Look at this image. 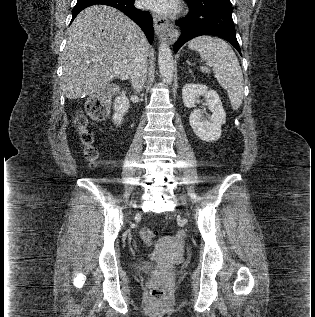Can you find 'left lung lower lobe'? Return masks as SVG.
<instances>
[{"instance_id": "0a47b994", "label": "left lung lower lobe", "mask_w": 315, "mask_h": 317, "mask_svg": "<svg viewBox=\"0 0 315 317\" xmlns=\"http://www.w3.org/2000/svg\"><path fill=\"white\" fill-rule=\"evenodd\" d=\"M188 15L176 21L181 35L174 44V52L187 41L201 35L221 37L231 43L241 54L232 19V8L217 7L212 4L188 3Z\"/></svg>"}]
</instances>
